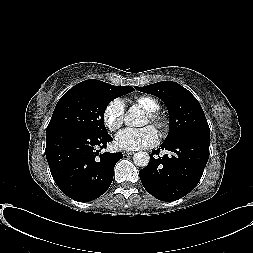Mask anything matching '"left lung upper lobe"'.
I'll use <instances>...</instances> for the list:
<instances>
[{
  "instance_id": "1",
  "label": "left lung upper lobe",
  "mask_w": 253,
  "mask_h": 253,
  "mask_svg": "<svg viewBox=\"0 0 253 253\" xmlns=\"http://www.w3.org/2000/svg\"><path fill=\"white\" fill-rule=\"evenodd\" d=\"M137 90L160 98L170 117V130L165 141L185 132L210 134L205 114L198 100L184 87L173 81L157 82Z\"/></svg>"
}]
</instances>
